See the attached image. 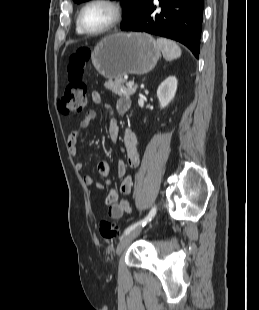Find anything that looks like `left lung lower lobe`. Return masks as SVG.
<instances>
[{"label": "left lung lower lobe", "mask_w": 259, "mask_h": 310, "mask_svg": "<svg viewBox=\"0 0 259 310\" xmlns=\"http://www.w3.org/2000/svg\"><path fill=\"white\" fill-rule=\"evenodd\" d=\"M150 0L142 13L121 30L147 32L184 44L199 57L204 0Z\"/></svg>", "instance_id": "1"}]
</instances>
